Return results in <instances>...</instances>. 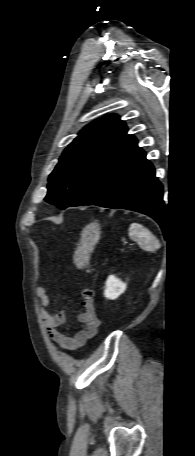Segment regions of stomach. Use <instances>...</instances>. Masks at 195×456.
Instances as JSON below:
<instances>
[{"label":"stomach","instance_id":"obj_1","mask_svg":"<svg viewBox=\"0 0 195 456\" xmlns=\"http://www.w3.org/2000/svg\"><path fill=\"white\" fill-rule=\"evenodd\" d=\"M100 230V225L97 222H92L81 231L80 241L74 252V259L78 267L88 264L90 254L100 239Z\"/></svg>","mask_w":195,"mask_h":456}]
</instances>
